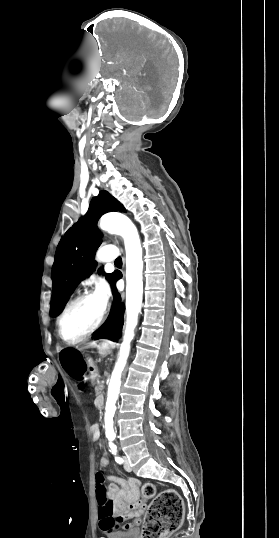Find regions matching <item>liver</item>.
<instances>
[{
	"label": "liver",
	"instance_id": "6515ba94",
	"mask_svg": "<svg viewBox=\"0 0 279 538\" xmlns=\"http://www.w3.org/2000/svg\"><path fill=\"white\" fill-rule=\"evenodd\" d=\"M89 346H92V348H97L96 342H91V344H89Z\"/></svg>",
	"mask_w": 279,
	"mask_h": 538
}]
</instances>
